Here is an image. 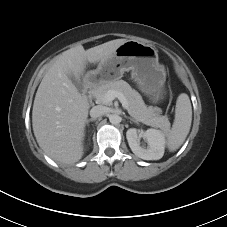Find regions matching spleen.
I'll return each mask as SVG.
<instances>
[{
    "mask_svg": "<svg viewBox=\"0 0 227 227\" xmlns=\"http://www.w3.org/2000/svg\"><path fill=\"white\" fill-rule=\"evenodd\" d=\"M192 122V106L187 94L182 93L176 101L175 119L170 131L166 133L169 151H176L189 134Z\"/></svg>",
    "mask_w": 227,
    "mask_h": 227,
    "instance_id": "1",
    "label": "spleen"
}]
</instances>
